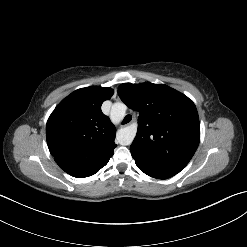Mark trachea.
I'll return each mask as SVG.
<instances>
[{
	"mask_svg": "<svg viewBox=\"0 0 247 247\" xmlns=\"http://www.w3.org/2000/svg\"><path fill=\"white\" fill-rule=\"evenodd\" d=\"M131 119H132L131 115H126L125 118L122 121V124L124 125V124L129 123L131 121Z\"/></svg>",
	"mask_w": 247,
	"mask_h": 247,
	"instance_id": "trachea-1",
	"label": "trachea"
}]
</instances>
